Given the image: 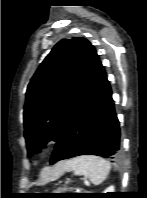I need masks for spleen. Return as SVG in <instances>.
Listing matches in <instances>:
<instances>
[{"label":"spleen","instance_id":"obj_1","mask_svg":"<svg viewBox=\"0 0 147 198\" xmlns=\"http://www.w3.org/2000/svg\"><path fill=\"white\" fill-rule=\"evenodd\" d=\"M111 165L94 155H83L70 160L69 170L75 175H85L94 185H100L108 176Z\"/></svg>","mask_w":147,"mask_h":198}]
</instances>
